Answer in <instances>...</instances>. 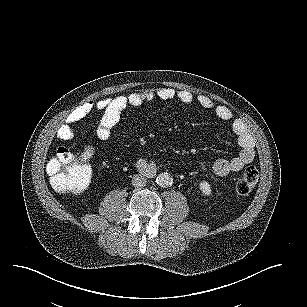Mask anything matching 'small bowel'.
<instances>
[{
  "label": "small bowel",
  "instance_id": "c3829d8e",
  "mask_svg": "<svg viewBox=\"0 0 307 307\" xmlns=\"http://www.w3.org/2000/svg\"><path fill=\"white\" fill-rule=\"evenodd\" d=\"M170 101L177 99L183 104L189 105L196 101L200 107L212 111L216 117L223 121H231V128L237 137L240 152L231 159L218 158L212 165L211 170L218 176H224L230 172H238L254 160L255 142L244 122L240 119H233V113L225 105H217L207 96L200 95L196 99L191 92L186 90L176 91L172 88H161L156 91L134 92L129 95H122L115 98H106L98 101H88L76 107L66 117L65 122L58 130L57 136L61 141H71L74 138L73 125L83 120L92 111L102 112L96 133L99 139L108 140L120 119L122 111L128 107H138L154 99ZM94 146H87L83 150V157L89 162L94 156ZM140 167L145 166L141 161Z\"/></svg>",
  "mask_w": 307,
  "mask_h": 307
}]
</instances>
